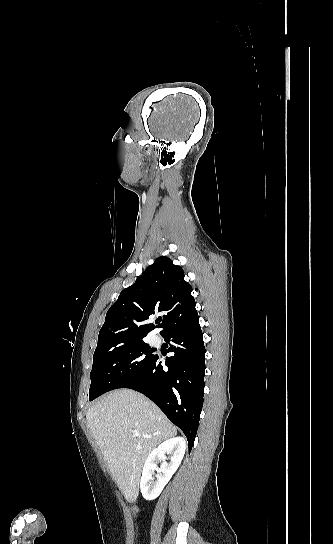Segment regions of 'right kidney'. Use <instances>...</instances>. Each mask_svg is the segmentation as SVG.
<instances>
[{
    "instance_id": "obj_1",
    "label": "right kidney",
    "mask_w": 333,
    "mask_h": 544,
    "mask_svg": "<svg viewBox=\"0 0 333 544\" xmlns=\"http://www.w3.org/2000/svg\"><path fill=\"white\" fill-rule=\"evenodd\" d=\"M185 450V440L182 437H176L164 441L149 454L140 481L141 493L146 500H154L160 495L181 464ZM167 453L171 455L169 463L166 462ZM159 461H163L160 468L157 466ZM155 471H157L156 480L153 477Z\"/></svg>"
}]
</instances>
